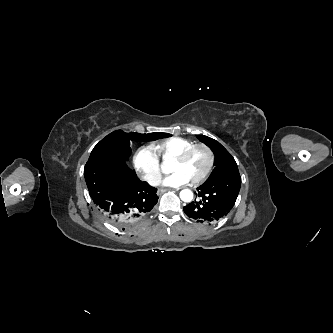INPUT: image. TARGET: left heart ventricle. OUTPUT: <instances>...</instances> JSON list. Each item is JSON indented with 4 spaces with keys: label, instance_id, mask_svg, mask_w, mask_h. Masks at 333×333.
<instances>
[{
    "label": "left heart ventricle",
    "instance_id": "left-heart-ventricle-1",
    "mask_svg": "<svg viewBox=\"0 0 333 333\" xmlns=\"http://www.w3.org/2000/svg\"><path fill=\"white\" fill-rule=\"evenodd\" d=\"M209 157L205 150L196 149L190 153L183 163L172 162L171 171L181 172L186 175L190 181L200 177L206 170Z\"/></svg>",
    "mask_w": 333,
    "mask_h": 333
}]
</instances>
